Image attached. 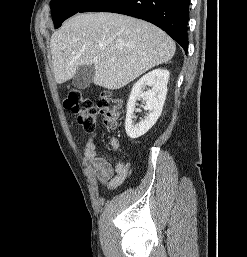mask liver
Returning a JSON list of instances; mask_svg holds the SVG:
<instances>
[{
	"label": "liver",
	"instance_id": "6515ba94",
	"mask_svg": "<svg viewBox=\"0 0 247 257\" xmlns=\"http://www.w3.org/2000/svg\"><path fill=\"white\" fill-rule=\"evenodd\" d=\"M58 84L74 77L82 65H94L93 82L116 90L147 70L172 59L175 42L146 21L116 13L78 14L50 40Z\"/></svg>",
	"mask_w": 247,
	"mask_h": 257
}]
</instances>
